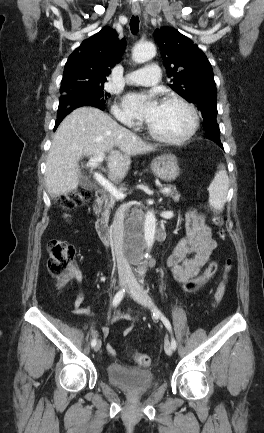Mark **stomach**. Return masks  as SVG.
<instances>
[{
  "label": "stomach",
  "instance_id": "1",
  "mask_svg": "<svg viewBox=\"0 0 264 433\" xmlns=\"http://www.w3.org/2000/svg\"><path fill=\"white\" fill-rule=\"evenodd\" d=\"M150 167L152 173L165 182L175 180L180 172L177 158L171 153L155 158Z\"/></svg>",
  "mask_w": 264,
  "mask_h": 433
}]
</instances>
